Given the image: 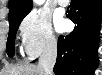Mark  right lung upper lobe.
<instances>
[{
    "label": "right lung upper lobe",
    "instance_id": "right-lung-upper-lobe-1",
    "mask_svg": "<svg viewBox=\"0 0 102 75\" xmlns=\"http://www.w3.org/2000/svg\"><path fill=\"white\" fill-rule=\"evenodd\" d=\"M9 16L28 12L32 8V0H9Z\"/></svg>",
    "mask_w": 102,
    "mask_h": 75
}]
</instances>
